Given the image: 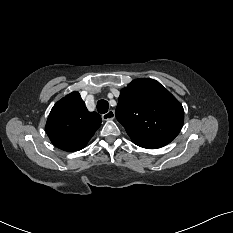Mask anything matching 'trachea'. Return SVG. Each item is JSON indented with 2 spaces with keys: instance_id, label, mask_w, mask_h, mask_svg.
Returning <instances> with one entry per match:
<instances>
[{
  "instance_id": "1",
  "label": "trachea",
  "mask_w": 233,
  "mask_h": 233,
  "mask_svg": "<svg viewBox=\"0 0 233 233\" xmlns=\"http://www.w3.org/2000/svg\"><path fill=\"white\" fill-rule=\"evenodd\" d=\"M108 108H109V104L106 100H99L98 103H97V110L99 113L101 114H105L107 113L108 111Z\"/></svg>"
}]
</instances>
